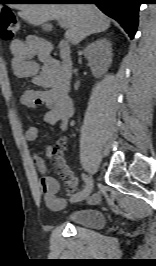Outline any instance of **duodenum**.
Returning a JSON list of instances; mask_svg holds the SVG:
<instances>
[{
    "label": "duodenum",
    "instance_id": "1",
    "mask_svg": "<svg viewBox=\"0 0 156 266\" xmlns=\"http://www.w3.org/2000/svg\"><path fill=\"white\" fill-rule=\"evenodd\" d=\"M41 49L43 52L49 55L50 46L48 44H44ZM58 52L61 58V61L58 64V75L61 82L64 85L69 86L73 67L69 43L65 40H62L58 45Z\"/></svg>",
    "mask_w": 156,
    "mask_h": 266
}]
</instances>
